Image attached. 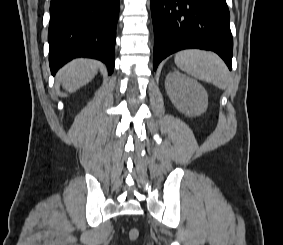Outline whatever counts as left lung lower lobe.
I'll use <instances>...</instances> for the list:
<instances>
[{
  "label": "left lung lower lobe",
  "instance_id": "left-lung-lower-lobe-1",
  "mask_svg": "<svg viewBox=\"0 0 283 245\" xmlns=\"http://www.w3.org/2000/svg\"><path fill=\"white\" fill-rule=\"evenodd\" d=\"M153 69L187 48L216 52L231 70L233 39L225 0H151Z\"/></svg>",
  "mask_w": 283,
  "mask_h": 245
}]
</instances>
